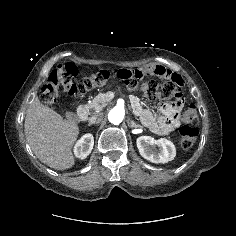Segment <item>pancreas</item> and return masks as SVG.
<instances>
[{
	"label": "pancreas",
	"instance_id": "pancreas-1",
	"mask_svg": "<svg viewBox=\"0 0 236 236\" xmlns=\"http://www.w3.org/2000/svg\"><path fill=\"white\" fill-rule=\"evenodd\" d=\"M109 101L110 99L107 93H99L92 99V101L87 105V107L95 111H100L107 105Z\"/></svg>",
	"mask_w": 236,
	"mask_h": 236
}]
</instances>
